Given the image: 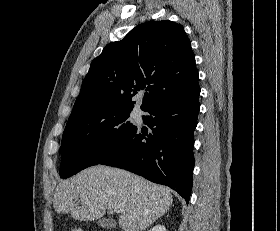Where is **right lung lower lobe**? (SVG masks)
I'll use <instances>...</instances> for the list:
<instances>
[{
    "label": "right lung lower lobe",
    "instance_id": "1",
    "mask_svg": "<svg viewBox=\"0 0 280 231\" xmlns=\"http://www.w3.org/2000/svg\"><path fill=\"white\" fill-rule=\"evenodd\" d=\"M200 87L166 98L145 110L146 134L136 127L100 164L131 171L171 187L187 204L192 190L194 137Z\"/></svg>",
    "mask_w": 280,
    "mask_h": 231
}]
</instances>
